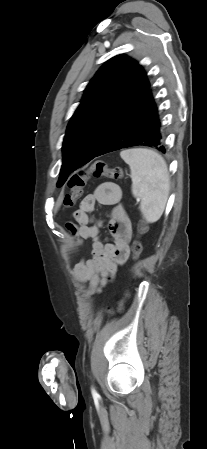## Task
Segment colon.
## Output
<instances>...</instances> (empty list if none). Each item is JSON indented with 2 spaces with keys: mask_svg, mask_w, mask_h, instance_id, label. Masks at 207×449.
Instances as JSON below:
<instances>
[{
  "mask_svg": "<svg viewBox=\"0 0 207 449\" xmlns=\"http://www.w3.org/2000/svg\"><path fill=\"white\" fill-rule=\"evenodd\" d=\"M102 178L106 177L115 181H121L124 179L123 170L119 167L111 168L107 165L105 161H95L87 169L82 170L71 176L68 182V187L70 191L66 193L63 197V206L65 208H70L75 205L77 200L82 196L83 189L89 178ZM146 230L145 226H141L140 232ZM132 258L137 260L142 253V243L137 238L132 243ZM128 298V292L125 294L124 298L120 301L117 311L123 309V305ZM107 313L111 315L113 310L111 308L107 309Z\"/></svg>",
  "mask_w": 207,
  "mask_h": 449,
  "instance_id": "obj_1",
  "label": "colon"
}]
</instances>
